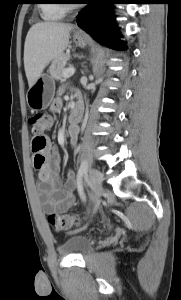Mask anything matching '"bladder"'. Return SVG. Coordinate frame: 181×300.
<instances>
[{"label":"bladder","mask_w":181,"mask_h":300,"mask_svg":"<svg viewBox=\"0 0 181 300\" xmlns=\"http://www.w3.org/2000/svg\"><path fill=\"white\" fill-rule=\"evenodd\" d=\"M66 250L74 255H85L90 251V244L85 240L70 241Z\"/></svg>","instance_id":"1"}]
</instances>
